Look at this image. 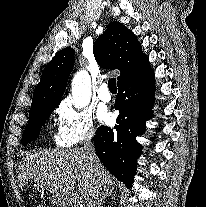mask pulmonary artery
Listing matches in <instances>:
<instances>
[{"mask_svg": "<svg viewBox=\"0 0 206 207\" xmlns=\"http://www.w3.org/2000/svg\"><path fill=\"white\" fill-rule=\"evenodd\" d=\"M99 98L102 102L108 103L112 99V95L108 89L107 83H103L99 90Z\"/></svg>", "mask_w": 206, "mask_h": 207, "instance_id": "obj_1", "label": "pulmonary artery"}]
</instances>
